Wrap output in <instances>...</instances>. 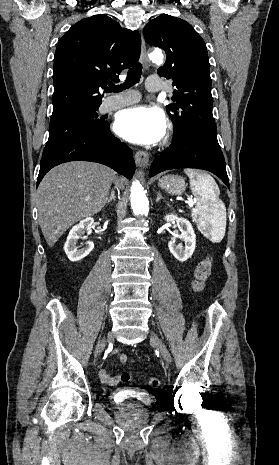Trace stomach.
Returning a JSON list of instances; mask_svg holds the SVG:
<instances>
[{"label": "stomach", "mask_w": 279, "mask_h": 465, "mask_svg": "<svg viewBox=\"0 0 279 465\" xmlns=\"http://www.w3.org/2000/svg\"><path fill=\"white\" fill-rule=\"evenodd\" d=\"M159 187L172 195H181L186 188L185 180L178 175H167L158 182Z\"/></svg>", "instance_id": "obj_1"}]
</instances>
